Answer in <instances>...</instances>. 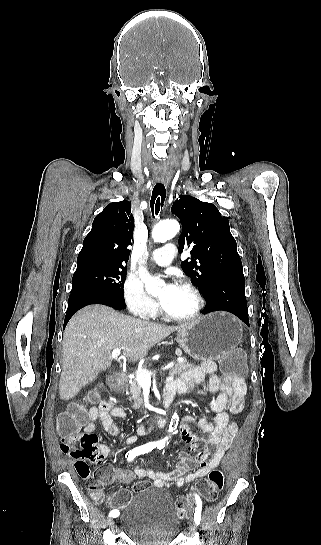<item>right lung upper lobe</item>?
<instances>
[{
  "mask_svg": "<svg viewBox=\"0 0 321 545\" xmlns=\"http://www.w3.org/2000/svg\"><path fill=\"white\" fill-rule=\"evenodd\" d=\"M134 218L129 201L113 202L98 214L83 241L77 268L88 265L123 266L129 259Z\"/></svg>",
  "mask_w": 321,
  "mask_h": 545,
  "instance_id": "cb5924a9",
  "label": "right lung upper lobe"
}]
</instances>
